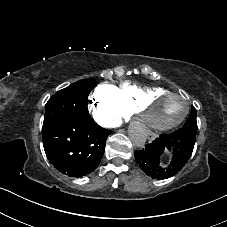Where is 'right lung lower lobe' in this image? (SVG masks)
Listing matches in <instances>:
<instances>
[{
    "mask_svg": "<svg viewBox=\"0 0 227 227\" xmlns=\"http://www.w3.org/2000/svg\"><path fill=\"white\" fill-rule=\"evenodd\" d=\"M112 133L94 123L89 115L68 117L42 128L43 146L57 170L82 177L98 167L106 139Z\"/></svg>",
    "mask_w": 227,
    "mask_h": 227,
    "instance_id": "obj_1",
    "label": "right lung lower lobe"
}]
</instances>
